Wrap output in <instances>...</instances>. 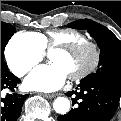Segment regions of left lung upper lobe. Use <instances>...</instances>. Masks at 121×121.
<instances>
[{
	"label": "left lung upper lobe",
	"instance_id": "1",
	"mask_svg": "<svg viewBox=\"0 0 121 121\" xmlns=\"http://www.w3.org/2000/svg\"><path fill=\"white\" fill-rule=\"evenodd\" d=\"M74 29H85L95 38L101 53L98 69L81 81L105 80L121 87V42L105 26L90 19L74 21L67 25Z\"/></svg>",
	"mask_w": 121,
	"mask_h": 121
}]
</instances>
